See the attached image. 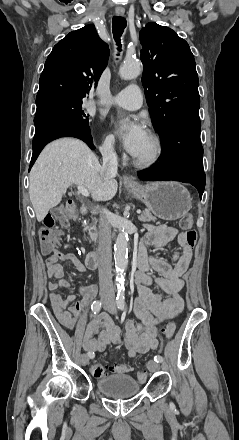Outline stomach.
I'll return each instance as SVG.
<instances>
[{"instance_id": "stomach-1", "label": "stomach", "mask_w": 239, "mask_h": 440, "mask_svg": "<svg viewBox=\"0 0 239 440\" xmlns=\"http://www.w3.org/2000/svg\"><path fill=\"white\" fill-rule=\"evenodd\" d=\"M127 190L161 220H179L192 208V198L179 182H151Z\"/></svg>"}]
</instances>
